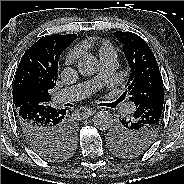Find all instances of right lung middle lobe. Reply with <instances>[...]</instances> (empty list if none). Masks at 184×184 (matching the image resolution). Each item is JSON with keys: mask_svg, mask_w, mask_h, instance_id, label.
<instances>
[{"mask_svg": "<svg viewBox=\"0 0 184 184\" xmlns=\"http://www.w3.org/2000/svg\"><path fill=\"white\" fill-rule=\"evenodd\" d=\"M76 141L75 128H69L64 135L63 141L44 151H39L38 154L49 161H60L68 158L73 152Z\"/></svg>", "mask_w": 184, "mask_h": 184, "instance_id": "dd1d6c3e", "label": "right lung middle lobe"}]
</instances>
